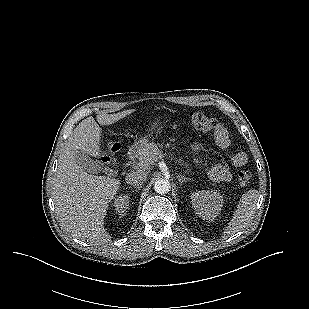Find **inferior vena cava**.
<instances>
[{"instance_id": "obj_1", "label": "inferior vena cava", "mask_w": 309, "mask_h": 309, "mask_svg": "<svg viewBox=\"0 0 309 309\" xmlns=\"http://www.w3.org/2000/svg\"><path fill=\"white\" fill-rule=\"evenodd\" d=\"M146 178L147 173L144 170L138 168L128 173L125 177V181L127 184L139 186L143 184Z\"/></svg>"}]
</instances>
